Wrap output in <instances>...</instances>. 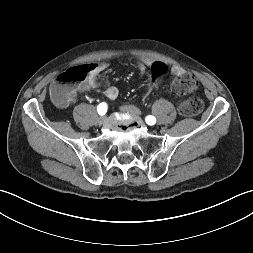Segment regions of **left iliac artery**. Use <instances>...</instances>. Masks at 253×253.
I'll return each instance as SVG.
<instances>
[{"mask_svg": "<svg viewBox=\"0 0 253 253\" xmlns=\"http://www.w3.org/2000/svg\"><path fill=\"white\" fill-rule=\"evenodd\" d=\"M145 121L148 125H154L156 123V118L154 116L149 115L145 118Z\"/></svg>", "mask_w": 253, "mask_h": 253, "instance_id": "1", "label": "left iliac artery"}]
</instances>
